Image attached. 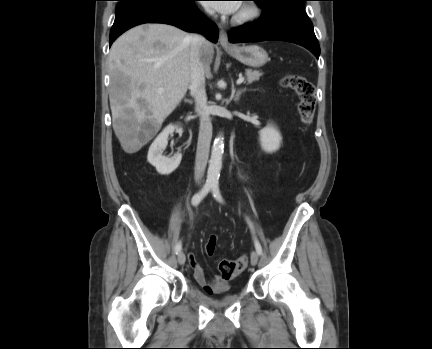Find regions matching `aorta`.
<instances>
[{"label": "aorta", "mask_w": 432, "mask_h": 349, "mask_svg": "<svg viewBox=\"0 0 432 349\" xmlns=\"http://www.w3.org/2000/svg\"><path fill=\"white\" fill-rule=\"evenodd\" d=\"M224 152V137L218 135L213 143L209 167L207 172V180L209 182H217L220 177L222 168V157Z\"/></svg>", "instance_id": "obj_1"}]
</instances>
